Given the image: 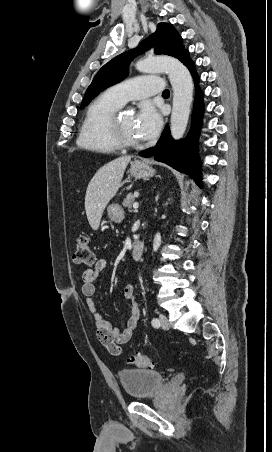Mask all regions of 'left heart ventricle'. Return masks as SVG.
<instances>
[{
    "instance_id": "obj_1",
    "label": "left heart ventricle",
    "mask_w": 272,
    "mask_h": 452,
    "mask_svg": "<svg viewBox=\"0 0 272 452\" xmlns=\"http://www.w3.org/2000/svg\"><path fill=\"white\" fill-rule=\"evenodd\" d=\"M119 122L124 135L128 139L132 141H139L140 138L137 134L136 121L134 116L123 114L119 117Z\"/></svg>"
}]
</instances>
